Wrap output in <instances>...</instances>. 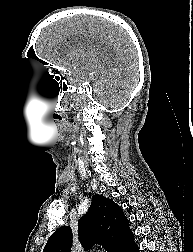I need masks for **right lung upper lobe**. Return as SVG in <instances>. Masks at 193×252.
Masks as SVG:
<instances>
[{"instance_id":"right-lung-upper-lobe-1","label":"right lung upper lobe","mask_w":193,"mask_h":252,"mask_svg":"<svg viewBox=\"0 0 193 252\" xmlns=\"http://www.w3.org/2000/svg\"><path fill=\"white\" fill-rule=\"evenodd\" d=\"M132 234L129 221L119 205L109 198L95 194L88 212L78 222V236L85 250L94 244L107 252H115ZM70 227L57 229L48 239L43 252H71Z\"/></svg>"}]
</instances>
